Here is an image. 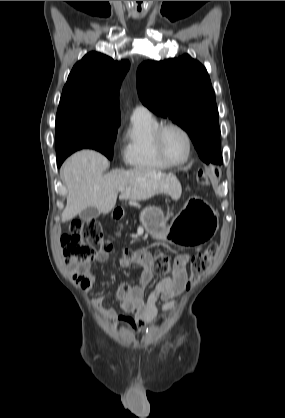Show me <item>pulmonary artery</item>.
Returning <instances> with one entry per match:
<instances>
[{"instance_id":"1","label":"pulmonary artery","mask_w":285,"mask_h":418,"mask_svg":"<svg viewBox=\"0 0 285 418\" xmlns=\"http://www.w3.org/2000/svg\"><path fill=\"white\" fill-rule=\"evenodd\" d=\"M151 116L150 111L143 106L135 107L131 112V119H143Z\"/></svg>"}]
</instances>
